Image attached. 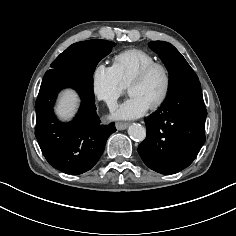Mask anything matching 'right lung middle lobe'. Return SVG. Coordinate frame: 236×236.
I'll return each mask as SVG.
<instances>
[{
    "mask_svg": "<svg viewBox=\"0 0 236 236\" xmlns=\"http://www.w3.org/2000/svg\"><path fill=\"white\" fill-rule=\"evenodd\" d=\"M114 42L106 40H87L74 43L61 53L51 64L53 70L77 71L92 77L98 62L107 56Z\"/></svg>",
    "mask_w": 236,
    "mask_h": 236,
    "instance_id": "obj_1",
    "label": "right lung middle lobe"
}]
</instances>
